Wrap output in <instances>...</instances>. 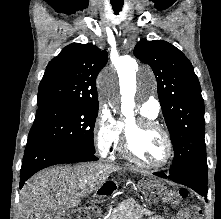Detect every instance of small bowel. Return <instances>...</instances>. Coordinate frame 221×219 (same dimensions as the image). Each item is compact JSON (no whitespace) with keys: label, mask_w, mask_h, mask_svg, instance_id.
Instances as JSON below:
<instances>
[{"label":"small bowel","mask_w":221,"mask_h":219,"mask_svg":"<svg viewBox=\"0 0 221 219\" xmlns=\"http://www.w3.org/2000/svg\"><path fill=\"white\" fill-rule=\"evenodd\" d=\"M147 219H163V218H161L160 216H151V217H149Z\"/></svg>","instance_id":"1"}]
</instances>
